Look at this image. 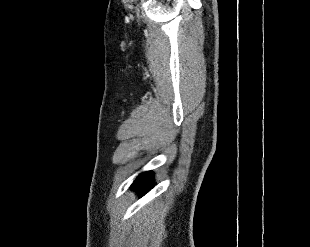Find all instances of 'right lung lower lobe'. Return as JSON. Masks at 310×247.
Masks as SVG:
<instances>
[{"instance_id": "1", "label": "right lung lower lobe", "mask_w": 310, "mask_h": 247, "mask_svg": "<svg viewBox=\"0 0 310 247\" xmlns=\"http://www.w3.org/2000/svg\"><path fill=\"white\" fill-rule=\"evenodd\" d=\"M152 180V172L142 173L132 184V189L137 190L141 195H143L153 186Z\"/></svg>"}]
</instances>
